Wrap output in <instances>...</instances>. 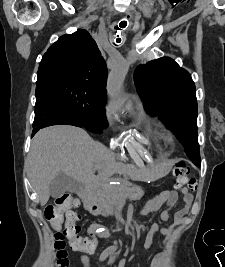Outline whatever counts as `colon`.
Returning a JSON list of instances; mask_svg holds the SVG:
<instances>
[{"instance_id":"5ec220e1","label":"colon","mask_w":225,"mask_h":267,"mask_svg":"<svg viewBox=\"0 0 225 267\" xmlns=\"http://www.w3.org/2000/svg\"><path fill=\"white\" fill-rule=\"evenodd\" d=\"M172 173L178 188L187 187L191 191L197 189L198 182L195 178H189L190 168L185 161L180 159L175 160ZM77 205L78 201L75 198L69 195H63L57 199L55 204L48 205L45 208V217L55 230V267H69L65 249L66 239L71 248L77 251L91 252L94 248L89 238H82L80 236L81 227L78 224L80 215L75 210ZM64 221L65 224L63 226Z\"/></svg>"}]
</instances>
